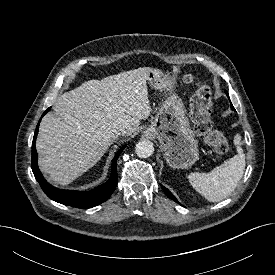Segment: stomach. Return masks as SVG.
Listing matches in <instances>:
<instances>
[{"instance_id":"obj_1","label":"stomach","mask_w":275,"mask_h":275,"mask_svg":"<svg viewBox=\"0 0 275 275\" xmlns=\"http://www.w3.org/2000/svg\"><path fill=\"white\" fill-rule=\"evenodd\" d=\"M148 83L156 90L165 91L167 96L145 132L159 140L170 167L187 169L198 160L199 149L185 106L175 92L176 74L169 75L160 69H152L148 74Z\"/></svg>"}]
</instances>
